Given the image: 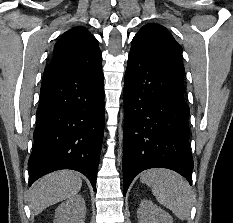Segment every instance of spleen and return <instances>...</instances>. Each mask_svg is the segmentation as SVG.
I'll return each instance as SVG.
<instances>
[{
	"instance_id": "spleen-1",
	"label": "spleen",
	"mask_w": 233,
	"mask_h": 223,
	"mask_svg": "<svg viewBox=\"0 0 233 223\" xmlns=\"http://www.w3.org/2000/svg\"><path fill=\"white\" fill-rule=\"evenodd\" d=\"M141 181L150 185L157 201L169 207L179 219H187L192 205L191 187L179 173L170 169H148Z\"/></svg>"
}]
</instances>
